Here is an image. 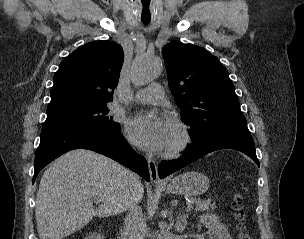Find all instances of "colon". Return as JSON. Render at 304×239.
I'll return each mask as SVG.
<instances>
[{
    "instance_id": "obj_1",
    "label": "colon",
    "mask_w": 304,
    "mask_h": 239,
    "mask_svg": "<svg viewBox=\"0 0 304 239\" xmlns=\"http://www.w3.org/2000/svg\"><path fill=\"white\" fill-rule=\"evenodd\" d=\"M232 207L235 212V217L239 222V239H250L248 233L243 226V220L245 218L243 210V201L240 194H236L233 198Z\"/></svg>"
}]
</instances>
